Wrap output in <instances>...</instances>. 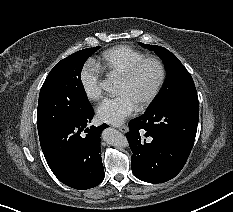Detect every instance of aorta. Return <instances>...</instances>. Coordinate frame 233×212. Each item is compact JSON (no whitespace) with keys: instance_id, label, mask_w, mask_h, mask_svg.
I'll return each mask as SVG.
<instances>
[{"instance_id":"762f6f07","label":"aorta","mask_w":233,"mask_h":212,"mask_svg":"<svg viewBox=\"0 0 233 212\" xmlns=\"http://www.w3.org/2000/svg\"><path fill=\"white\" fill-rule=\"evenodd\" d=\"M103 90L109 93H115L117 91V80L114 78H107L100 83ZM103 140L114 147L124 148L128 146L126 137L113 128H107L102 133Z\"/></svg>"}]
</instances>
